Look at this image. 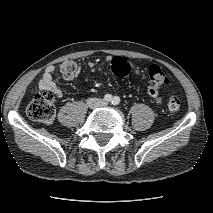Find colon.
<instances>
[{"instance_id": "1", "label": "colon", "mask_w": 213, "mask_h": 213, "mask_svg": "<svg viewBox=\"0 0 213 213\" xmlns=\"http://www.w3.org/2000/svg\"><path fill=\"white\" fill-rule=\"evenodd\" d=\"M110 65L112 72L118 77H126L131 71L130 64L123 58H113ZM60 72L65 78H73L78 72V67L74 61H65L60 65ZM145 74L155 88H161L169 82L166 73L155 64L148 65ZM167 105L170 111L177 112L181 103L176 95H170ZM55 113L54 95L47 90L38 91L26 108L29 118L44 124H51L55 119Z\"/></svg>"}]
</instances>
